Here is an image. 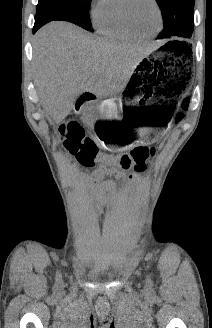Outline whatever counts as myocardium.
Segmentation results:
<instances>
[{
  "label": "myocardium",
  "instance_id": "obj_1",
  "mask_svg": "<svg viewBox=\"0 0 212 328\" xmlns=\"http://www.w3.org/2000/svg\"><path fill=\"white\" fill-rule=\"evenodd\" d=\"M135 0H123V6H122V13H123V18L125 20V23L127 24V26L135 33L137 34H142L145 33L143 32L140 28H138L136 26V24L134 23L132 16H131V6L133 4ZM151 2L153 3V5L155 6L158 16H159V26L158 28L155 30V32H159L163 26V22H164V18H163V13H162V9L158 3L157 0H151Z\"/></svg>",
  "mask_w": 212,
  "mask_h": 328
}]
</instances>
